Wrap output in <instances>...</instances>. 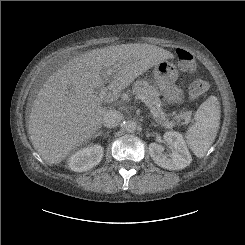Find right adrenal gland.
Here are the masks:
<instances>
[{
  "label": "right adrenal gland",
  "mask_w": 245,
  "mask_h": 245,
  "mask_svg": "<svg viewBox=\"0 0 245 245\" xmlns=\"http://www.w3.org/2000/svg\"><path fill=\"white\" fill-rule=\"evenodd\" d=\"M103 133H104V131H99L98 133H96V134H95V136H94V137L96 138V137H98V136L102 135Z\"/></svg>",
  "instance_id": "obj_1"
}]
</instances>
